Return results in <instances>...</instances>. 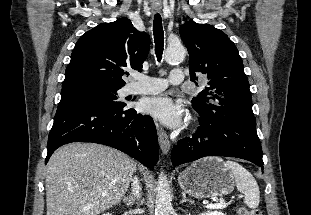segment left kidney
<instances>
[{
  "instance_id": "left-kidney-1",
  "label": "left kidney",
  "mask_w": 311,
  "mask_h": 215,
  "mask_svg": "<svg viewBox=\"0 0 311 215\" xmlns=\"http://www.w3.org/2000/svg\"><path fill=\"white\" fill-rule=\"evenodd\" d=\"M200 215H225L222 212H218V211H208L206 213H202Z\"/></svg>"
}]
</instances>
